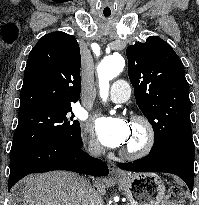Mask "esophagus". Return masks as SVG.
I'll list each match as a JSON object with an SVG mask.
<instances>
[{
    "label": "esophagus",
    "instance_id": "esophagus-1",
    "mask_svg": "<svg viewBox=\"0 0 199 205\" xmlns=\"http://www.w3.org/2000/svg\"><path fill=\"white\" fill-rule=\"evenodd\" d=\"M109 170L112 177H120L122 176L121 172L117 169L114 163L109 164Z\"/></svg>",
    "mask_w": 199,
    "mask_h": 205
}]
</instances>
